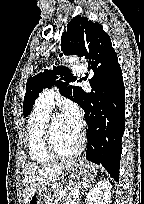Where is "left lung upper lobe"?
Returning a JSON list of instances; mask_svg holds the SVG:
<instances>
[{"mask_svg":"<svg viewBox=\"0 0 144 204\" xmlns=\"http://www.w3.org/2000/svg\"><path fill=\"white\" fill-rule=\"evenodd\" d=\"M61 41L63 53L60 56L63 54L85 56L92 65L91 67L108 69L118 60L109 35L104 32L99 23L92 22L86 17L78 15L73 18L67 25V31H64ZM58 75L61 76L60 80L65 82H55ZM71 75L70 70L65 67H53V70H45L43 73L29 78L23 102V115L25 117L29 115L42 89L50 88L54 82L55 85H59L60 93L63 96L80 105L84 92L80 87L69 84L75 81V77Z\"/></svg>","mask_w":144,"mask_h":204,"instance_id":"5c2ea615","label":"left lung upper lobe"}]
</instances>
